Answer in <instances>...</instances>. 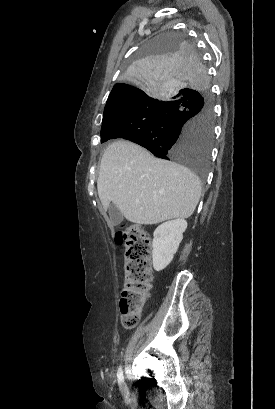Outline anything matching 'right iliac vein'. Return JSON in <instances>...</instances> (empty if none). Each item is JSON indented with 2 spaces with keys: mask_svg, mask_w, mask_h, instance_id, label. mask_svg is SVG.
I'll return each mask as SVG.
<instances>
[{
  "mask_svg": "<svg viewBox=\"0 0 275 409\" xmlns=\"http://www.w3.org/2000/svg\"><path fill=\"white\" fill-rule=\"evenodd\" d=\"M122 385H125V383H124V382H122Z\"/></svg>",
  "mask_w": 275,
  "mask_h": 409,
  "instance_id": "63e3f726",
  "label": "right iliac vein"
}]
</instances>
